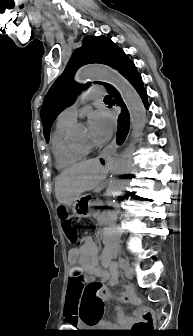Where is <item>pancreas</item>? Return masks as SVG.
Here are the masks:
<instances>
[{
    "label": "pancreas",
    "mask_w": 193,
    "mask_h": 336,
    "mask_svg": "<svg viewBox=\"0 0 193 336\" xmlns=\"http://www.w3.org/2000/svg\"><path fill=\"white\" fill-rule=\"evenodd\" d=\"M103 209V200L101 198H98L94 201L93 210L95 211L96 215H99Z\"/></svg>",
    "instance_id": "pancreas-1"
}]
</instances>
